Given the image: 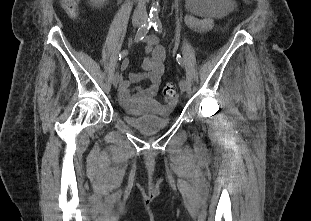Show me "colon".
<instances>
[{"label":"colon","instance_id":"obj_1","mask_svg":"<svg viewBox=\"0 0 311 221\" xmlns=\"http://www.w3.org/2000/svg\"><path fill=\"white\" fill-rule=\"evenodd\" d=\"M65 13L71 18L76 19L79 15L80 0H59ZM177 89L173 84H168L163 88V100L172 105L177 101Z\"/></svg>","mask_w":311,"mask_h":221}]
</instances>
